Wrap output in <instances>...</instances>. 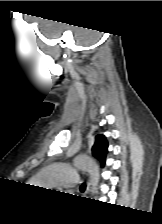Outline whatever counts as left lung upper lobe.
<instances>
[{
	"label": "left lung upper lobe",
	"mask_w": 162,
	"mask_h": 224,
	"mask_svg": "<svg viewBox=\"0 0 162 224\" xmlns=\"http://www.w3.org/2000/svg\"><path fill=\"white\" fill-rule=\"evenodd\" d=\"M107 150L108 143L106 138L103 135H97L92 147V154L102 163V166L105 165Z\"/></svg>",
	"instance_id": "5c2ea615"
}]
</instances>
